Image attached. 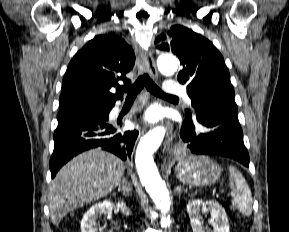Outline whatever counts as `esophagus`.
<instances>
[{
	"instance_id": "34e87169",
	"label": "esophagus",
	"mask_w": 289,
	"mask_h": 232,
	"mask_svg": "<svg viewBox=\"0 0 289 232\" xmlns=\"http://www.w3.org/2000/svg\"><path fill=\"white\" fill-rule=\"evenodd\" d=\"M142 60L145 66L147 67L149 74L153 78H158V71L155 65L154 57L152 53L149 50H143L142 51ZM172 124L167 123V138L164 142V150L168 147H170L172 143Z\"/></svg>"
}]
</instances>
